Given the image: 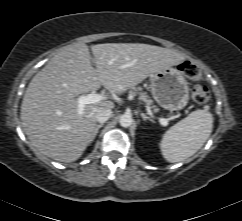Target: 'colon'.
I'll use <instances>...</instances> for the list:
<instances>
[{"mask_svg": "<svg viewBox=\"0 0 242 221\" xmlns=\"http://www.w3.org/2000/svg\"><path fill=\"white\" fill-rule=\"evenodd\" d=\"M181 71L190 79L197 80L200 78V70L193 62H184L181 65ZM192 98L196 103L204 105L210 100V91L206 86L197 85L193 89Z\"/></svg>", "mask_w": 242, "mask_h": 221, "instance_id": "colon-1", "label": "colon"}]
</instances>
